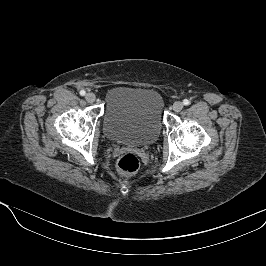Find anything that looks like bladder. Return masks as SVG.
<instances>
[{"instance_id":"obj_1","label":"bladder","mask_w":266,"mask_h":266,"mask_svg":"<svg viewBox=\"0 0 266 266\" xmlns=\"http://www.w3.org/2000/svg\"><path fill=\"white\" fill-rule=\"evenodd\" d=\"M163 105V98L155 89L115 87L106 95L103 132L113 142L151 145L162 129Z\"/></svg>"}]
</instances>
